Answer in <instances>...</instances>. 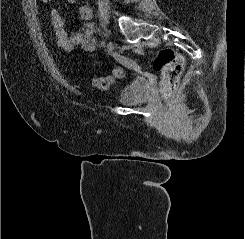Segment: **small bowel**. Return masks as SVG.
I'll return each instance as SVG.
<instances>
[{
  "mask_svg": "<svg viewBox=\"0 0 245 239\" xmlns=\"http://www.w3.org/2000/svg\"><path fill=\"white\" fill-rule=\"evenodd\" d=\"M78 0H68L76 3ZM79 15L83 21L79 31L71 32L66 28V21L60 12L54 8L50 12V20L56 35L57 45L65 51L82 50L92 52L95 49V26L92 22L93 9L88 3L79 7Z\"/></svg>",
  "mask_w": 245,
  "mask_h": 239,
  "instance_id": "small-bowel-1",
  "label": "small bowel"
}]
</instances>
